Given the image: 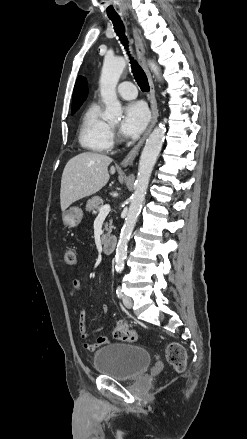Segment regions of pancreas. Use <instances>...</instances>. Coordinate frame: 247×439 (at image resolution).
<instances>
[{
  "label": "pancreas",
  "instance_id": "cf45deb5",
  "mask_svg": "<svg viewBox=\"0 0 247 439\" xmlns=\"http://www.w3.org/2000/svg\"><path fill=\"white\" fill-rule=\"evenodd\" d=\"M102 204H103V199L99 196H95L87 201L85 209L88 212H92L93 214H97L99 209H100V206ZM112 229H113L112 220H110L109 224H107V223L105 224L104 230L107 232V234L103 235V238H105L106 236H109Z\"/></svg>",
  "mask_w": 247,
  "mask_h": 439
}]
</instances>
